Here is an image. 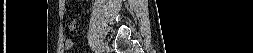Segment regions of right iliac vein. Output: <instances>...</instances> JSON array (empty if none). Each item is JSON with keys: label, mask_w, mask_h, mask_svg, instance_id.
I'll use <instances>...</instances> for the list:
<instances>
[{"label": "right iliac vein", "mask_w": 253, "mask_h": 53, "mask_svg": "<svg viewBox=\"0 0 253 53\" xmlns=\"http://www.w3.org/2000/svg\"><path fill=\"white\" fill-rule=\"evenodd\" d=\"M103 45H101L100 47H99V51H98V53H102L103 52Z\"/></svg>", "instance_id": "1"}]
</instances>
